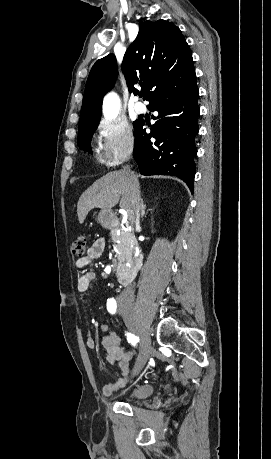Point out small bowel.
Segmentation results:
<instances>
[{
  "mask_svg": "<svg viewBox=\"0 0 271 459\" xmlns=\"http://www.w3.org/2000/svg\"><path fill=\"white\" fill-rule=\"evenodd\" d=\"M105 239L96 240L87 250V252L76 261V267L82 269L94 260L98 259L105 250ZM96 275L92 271H83L77 278V289L79 292H85L89 289L90 284L94 281ZM100 330L105 333L102 338L104 356L107 363H118L119 369L116 372V380L107 383L102 388L103 396H111L121 390L133 377L134 371L130 368L132 358L131 352L127 351L121 345V339L115 333L110 332L107 323L99 325ZM87 346L91 349L95 347V340L90 333L86 334Z\"/></svg>",
  "mask_w": 271,
  "mask_h": 459,
  "instance_id": "obj_1",
  "label": "small bowel"
}]
</instances>
